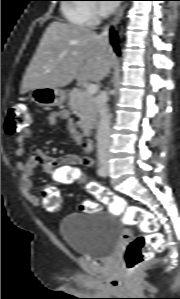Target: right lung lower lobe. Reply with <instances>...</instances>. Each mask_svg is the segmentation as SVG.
I'll return each mask as SVG.
<instances>
[{"mask_svg":"<svg viewBox=\"0 0 180 299\" xmlns=\"http://www.w3.org/2000/svg\"><path fill=\"white\" fill-rule=\"evenodd\" d=\"M110 42L115 50V52L119 55V49H118V38L114 31H111V39Z\"/></svg>","mask_w":180,"mask_h":299,"instance_id":"right-lung-lower-lobe-1","label":"right lung lower lobe"}]
</instances>
